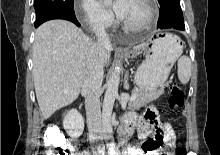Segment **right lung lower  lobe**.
<instances>
[{
	"mask_svg": "<svg viewBox=\"0 0 220 155\" xmlns=\"http://www.w3.org/2000/svg\"><path fill=\"white\" fill-rule=\"evenodd\" d=\"M52 19H64V20H68V21L73 22L77 26H80V23L77 21L75 14H68L65 12H53V13L47 14L43 17L36 19L35 27L37 28L42 23H44L48 20H52Z\"/></svg>",
	"mask_w": 220,
	"mask_h": 155,
	"instance_id": "98d812e1",
	"label": "right lung lower lobe"
}]
</instances>
